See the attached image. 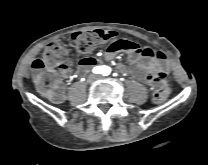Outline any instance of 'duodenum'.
I'll return each mask as SVG.
<instances>
[{
	"mask_svg": "<svg viewBox=\"0 0 208 165\" xmlns=\"http://www.w3.org/2000/svg\"><path fill=\"white\" fill-rule=\"evenodd\" d=\"M84 68H86V67H81V69H84Z\"/></svg>",
	"mask_w": 208,
	"mask_h": 165,
	"instance_id": "1",
	"label": "duodenum"
}]
</instances>
